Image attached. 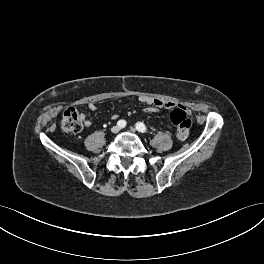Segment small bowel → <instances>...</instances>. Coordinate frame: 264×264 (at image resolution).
<instances>
[{
  "mask_svg": "<svg viewBox=\"0 0 264 264\" xmlns=\"http://www.w3.org/2000/svg\"><path fill=\"white\" fill-rule=\"evenodd\" d=\"M141 102H143L144 104L148 105V107L145 109L146 113H154L157 112L158 109L160 108H166V109H172L176 106V104L172 101H165V100H160V99H153V98H149V97H143L140 99ZM88 108L91 111H95L97 109V106L95 103H89L88 104ZM113 118H117V115H113ZM81 119L84 122V125L86 127H90L91 126V121L86 118L85 115H81Z\"/></svg>",
  "mask_w": 264,
  "mask_h": 264,
  "instance_id": "1",
  "label": "small bowel"
}]
</instances>
